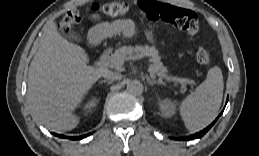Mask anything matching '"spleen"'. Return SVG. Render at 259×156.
<instances>
[{"label": "spleen", "mask_w": 259, "mask_h": 156, "mask_svg": "<svg viewBox=\"0 0 259 156\" xmlns=\"http://www.w3.org/2000/svg\"><path fill=\"white\" fill-rule=\"evenodd\" d=\"M223 88L222 71L214 66L206 79L179 106L180 116L188 130L198 131L214 120L221 106Z\"/></svg>", "instance_id": "obj_1"}]
</instances>
